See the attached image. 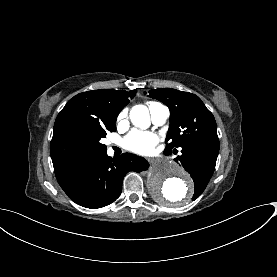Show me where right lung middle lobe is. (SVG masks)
<instances>
[{
  "label": "right lung middle lobe",
  "instance_id": "right-lung-middle-lobe-1",
  "mask_svg": "<svg viewBox=\"0 0 277 277\" xmlns=\"http://www.w3.org/2000/svg\"><path fill=\"white\" fill-rule=\"evenodd\" d=\"M104 137H106V132L92 133L80 129L69 143L50 147L54 169L75 160L105 151L106 145L100 143V140Z\"/></svg>",
  "mask_w": 277,
  "mask_h": 277
}]
</instances>
